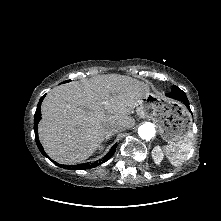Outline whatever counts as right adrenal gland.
I'll return each mask as SVG.
<instances>
[{"instance_id":"2a0ac1e0","label":"right adrenal gland","mask_w":221,"mask_h":221,"mask_svg":"<svg viewBox=\"0 0 221 221\" xmlns=\"http://www.w3.org/2000/svg\"><path fill=\"white\" fill-rule=\"evenodd\" d=\"M112 135H113V134L107 135L106 138H105V140L107 141Z\"/></svg>"}]
</instances>
